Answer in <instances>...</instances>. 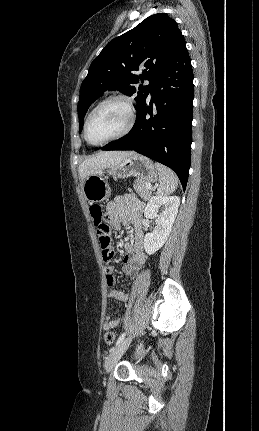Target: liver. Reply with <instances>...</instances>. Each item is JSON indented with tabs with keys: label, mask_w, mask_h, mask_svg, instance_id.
Here are the masks:
<instances>
[{
	"label": "liver",
	"mask_w": 259,
	"mask_h": 431,
	"mask_svg": "<svg viewBox=\"0 0 259 431\" xmlns=\"http://www.w3.org/2000/svg\"><path fill=\"white\" fill-rule=\"evenodd\" d=\"M134 153L135 152L133 151H103L88 157L78 168L82 185L88 176L100 173L109 167L117 165L123 159L133 155Z\"/></svg>",
	"instance_id": "1"
}]
</instances>
